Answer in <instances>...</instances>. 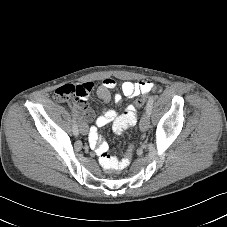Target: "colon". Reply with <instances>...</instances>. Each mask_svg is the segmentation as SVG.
<instances>
[{
  "mask_svg": "<svg viewBox=\"0 0 227 227\" xmlns=\"http://www.w3.org/2000/svg\"><path fill=\"white\" fill-rule=\"evenodd\" d=\"M81 94H82V91L79 86L68 84V85L59 87L55 92V97L58 100L71 99ZM145 101H146V96H139L135 101V106L141 107L144 105ZM130 148L131 149L126 151L122 160H118L115 157L110 156L108 153L102 154L100 156L101 165L106 170H109V171H117V170L123 169L128 164L132 154V150H135L137 148V145L135 143H132L130 145Z\"/></svg>",
  "mask_w": 227,
  "mask_h": 227,
  "instance_id": "1",
  "label": "colon"
}]
</instances>
